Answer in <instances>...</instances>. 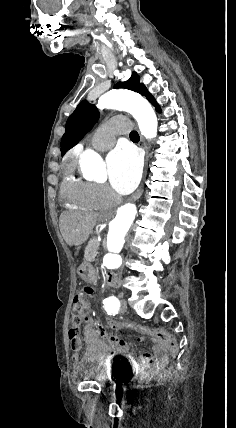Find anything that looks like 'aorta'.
I'll return each mask as SVG.
<instances>
[{
  "instance_id": "aorta-1",
  "label": "aorta",
  "mask_w": 236,
  "mask_h": 428,
  "mask_svg": "<svg viewBox=\"0 0 236 428\" xmlns=\"http://www.w3.org/2000/svg\"><path fill=\"white\" fill-rule=\"evenodd\" d=\"M97 107L99 109H118L129 112L137 121L141 134L152 139L157 135L158 121L150 103L138 94L128 90H111L102 95ZM81 167L91 172L93 178H103L104 170L101 157L93 150H86L80 160ZM137 213L134 204H125L118 208L115 218L109 224L107 250L103 264L108 269H117L122 265L120 252L125 243V236Z\"/></svg>"
}]
</instances>
